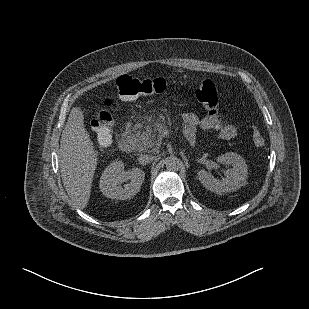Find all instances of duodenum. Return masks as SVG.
<instances>
[{"label": "duodenum", "instance_id": "1", "mask_svg": "<svg viewBox=\"0 0 309 309\" xmlns=\"http://www.w3.org/2000/svg\"><path fill=\"white\" fill-rule=\"evenodd\" d=\"M118 148L124 153H130L134 149V141L128 136H122L118 141Z\"/></svg>", "mask_w": 309, "mask_h": 309}]
</instances>
